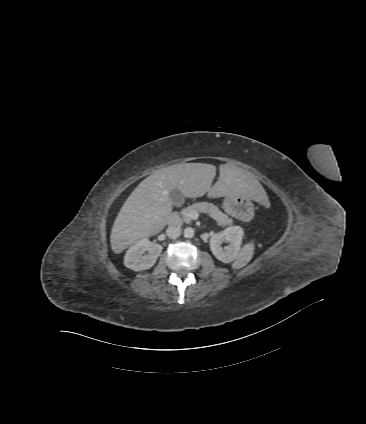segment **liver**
Listing matches in <instances>:
<instances>
[{"label": "liver", "instance_id": "1", "mask_svg": "<svg viewBox=\"0 0 366 424\" xmlns=\"http://www.w3.org/2000/svg\"><path fill=\"white\" fill-rule=\"evenodd\" d=\"M216 167L205 163H180L154 171L130 194L116 217L110 245L120 254L130 245L159 233L172 211L170 192L178 189L186 198L207 194L209 198L244 196L260 201L264 189L255 176L233 164L219 166L218 181L212 186Z\"/></svg>", "mask_w": 366, "mask_h": 424}]
</instances>
